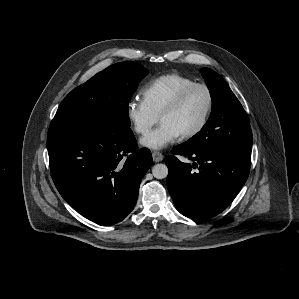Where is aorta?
Returning a JSON list of instances; mask_svg holds the SVG:
<instances>
[{"label":"aorta","instance_id":"aorta-1","mask_svg":"<svg viewBox=\"0 0 299 299\" xmlns=\"http://www.w3.org/2000/svg\"><path fill=\"white\" fill-rule=\"evenodd\" d=\"M152 174L156 179H164L168 175V168L165 164H156L152 168Z\"/></svg>","mask_w":299,"mask_h":299}]
</instances>
